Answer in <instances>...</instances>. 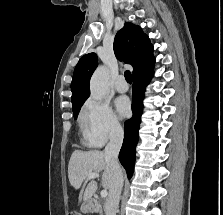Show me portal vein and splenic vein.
Here are the masks:
<instances>
[{
	"instance_id": "18ae733b",
	"label": "portal vein and splenic vein",
	"mask_w": 223,
	"mask_h": 215,
	"mask_svg": "<svg viewBox=\"0 0 223 215\" xmlns=\"http://www.w3.org/2000/svg\"><path fill=\"white\" fill-rule=\"evenodd\" d=\"M87 177L91 179V177H100L99 173H88ZM108 195L107 189H102L101 191V197H106Z\"/></svg>"
}]
</instances>
